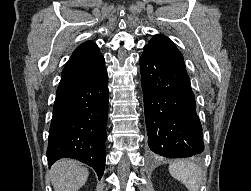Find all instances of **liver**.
I'll return each mask as SVG.
<instances>
[{
	"label": "liver",
	"mask_w": 251,
	"mask_h": 191,
	"mask_svg": "<svg viewBox=\"0 0 251 191\" xmlns=\"http://www.w3.org/2000/svg\"><path fill=\"white\" fill-rule=\"evenodd\" d=\"M89 171L75 159H59L50 169L55 191H77L87 181Z\"/></svg>",
	"instance_id": "liver-1"
}]
</instances>
